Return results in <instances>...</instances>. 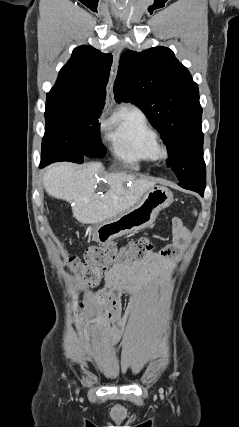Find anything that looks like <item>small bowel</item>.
<instances>
[{
	"mask_svg": "<svg viewBox=\"0 0 239 427\" xmlns=\"http://www.w3.org/2000/svg\"><path fill=\"white\" fill-rule=\"evenodd\" d=\"M175 227L173 243L158 252H151L142 259L130 264H117L105 274V284L96 296L100 308L108 307L105 319H98V327L104 326L109 341L118 343L123 330L129 324L131 315L141 312L146 305L145 293L166 278L171 266L172 257L180 245L186 240L188 232L182 227L180 219H174ZM126 292L131 301L122 315L120 294ZM109 322L116 325V329L109 326Z\"/></svg>",
	"mask_w": 239,
	"mask_h": 427,
	"instance_id": "obj_1",
	"label": "small bowel"
}]
</instances>
